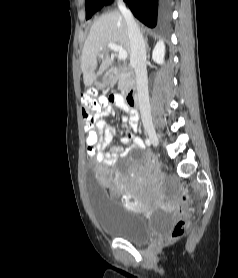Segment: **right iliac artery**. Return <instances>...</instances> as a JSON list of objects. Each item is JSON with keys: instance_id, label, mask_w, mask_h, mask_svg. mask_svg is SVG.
<instances>
[{"instance_id": "82829eb1", "label": "right iliac artery", "mask_w": 238, "mask_h": 278, "mask_svg": "<svg viewBox=\"0 0 238 278\" xmlns=\"http://www.w3.org/2000/svg\"><path fill=\"white\" fill-rule=\"evenodd\" d=\"M145 143H146L147 146H150V145H151V142H150L149 139H145Z\"/></svg>"}]
</instances>
